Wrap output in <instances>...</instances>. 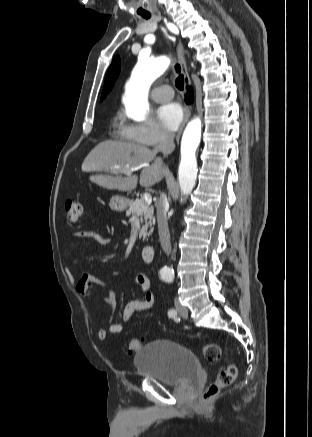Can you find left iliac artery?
Wrapping results in <instances>:
<instances>
[{"label": "left iliac artery", "instance_id": "obj_1", "mask_svg": "<svg viewBox=\"0 0 312 437\" xmlns=\"http://www.w3.org/2000/svg\"><path fill=\"white\" fill-rule=\"evenodd\" d=\"M167 280H168V279H167ZM168 281H171V280H168ZM176 315H177V313H176V311H175L174 309H170V310L168 311V316H169V317H171V318H175Z\"/></svg>", "mask_w": 312, "mask_h": 437}]
</instances>
